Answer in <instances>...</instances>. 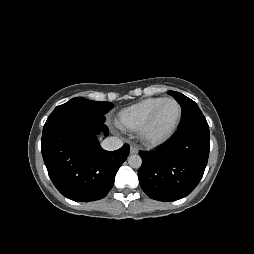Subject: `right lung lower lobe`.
Returning <instances> with one entry per match:
<instances>
[{"mask_svg": "<svg viewBox=\"0 0 254 254\" xmlns=\"http://www.w3.org/2000/svg\"><path fill=\"white\" fill-rule=\"evenodd\" d=\"M105 116L74 109H55L48 117L41 151L48 174L65 197L90 202L105 197L115 175L129 155V145L116 151L102 149L97 135L103 131Z\"/></svg>", "mask_w": 254, "mask_h": 254, "instance_id": "98d812e1", "label": "right lung lower lobe"}]
</instances>
